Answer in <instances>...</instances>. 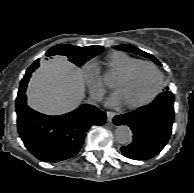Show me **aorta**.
Masks as SVG:
<instances>
[{
	"label": "aorta",
	"mask_w": 194,
	"mask_h": 193,
	"mask_svg": "<svg viewBox=\"0 0 194 193\" xmlns=\"http://www.w3.org/2000/svg\"><path fill=\"white\" fill-rule=\"evenodd\" d=\"M106 78H109V74H105ZM116 141L120 144H127L132 140V131L127 125L118 126L115 130Z\"/></svg>",
	"instance_id": "aorta-1"
}]
</instances>
